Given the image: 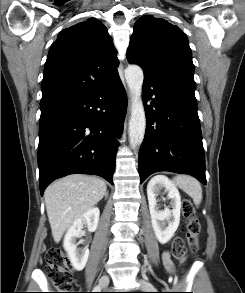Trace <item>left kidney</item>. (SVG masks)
I'll list each match as a JSON object with an SVG mask.
<instances>
[{
    "instance_id": "5707ae66",
    "label": "left kidney",
    "mask_w": 245,
    "mask_h": 293,
    "mask_svg": "<svg viewBox=\"0 0 245 293\" xmlns=\"http://www.w3.org/2000/svg\"><path fill=\"white\" fill-rule=\"evenodd\" d=\"M165 188L168 192V199L172 210L165 208L159 210L157 199L161 189ZM147 196L151 222L156 238L162 244L167 243L174 235L180 223L181 197L176 186L165 176H154L147 185Z\"/></svg>"
}]
</instances>
